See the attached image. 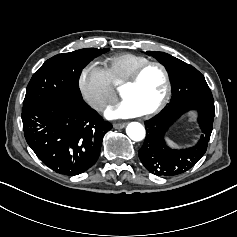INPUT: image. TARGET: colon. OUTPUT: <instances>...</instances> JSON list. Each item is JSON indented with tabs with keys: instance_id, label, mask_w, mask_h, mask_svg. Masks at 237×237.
Instances as JSON below:
<instances>
[{
	"instance_id": "colon-1",
	"label": "colon",
	"mask_w": 237,
	"mask_h": 237,
	"mask_svg": "<svg viewBox=\"0 0 237 237\" xmlns=\"http://www.w3.org/2000/svg\"><path fill=\"white\" fill-rule=\"evenodd\" d=\"M190 118H191V120H196V119L198 118V113L192 112V113L190 114Z\"/></svg>"
}]
</instances>
